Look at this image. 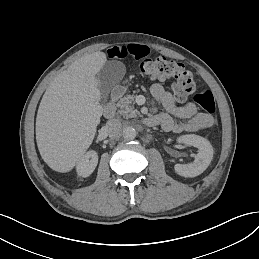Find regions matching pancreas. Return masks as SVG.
Wrapping results in <instances>:
<instances>
[{
  "label": "pancreas",
  "instance_id": "cf45deb5",
  "mask_svg": "<svg viewBox=\"0 0 259 259\" xmlns=\"http://www.w3.org/2000/svg\"><path fill=\"white\" fill-rule=\"evenodd\" d=\"M134 103V96L128 95L119 100L118 105L120 110L118 111L121 115H125L126 117H137L140 115V112L134 109L132 105Z\"/></svg>",
  "mask_w": 259,
  "mask_h": 259
}]
</instances>
